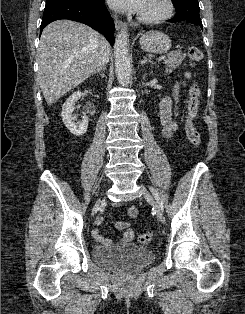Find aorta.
Returning <instances> with one entry per match:
<instances>
[{
  "label": "aorta",
  "instance_id": "762f6f07",
  "mask_svg": "<svg viewBox=\"0 0 245 314\" xmlns=\"http://www.w3.org/2000/svg\"><path fill=\"white\" fill-rule=\"evenodd\" d=\"M114 63L119 83L123 86H128L131 77V62L128 33L125 29L121 30L115 39Z\"/></svg>",
  "mask_w": 245,
  "mask_h": 314
}]
</instances>
